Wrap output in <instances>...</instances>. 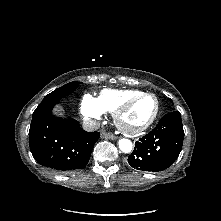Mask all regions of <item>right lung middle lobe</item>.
Segmentation results:
<instances>
[{
    "mask_svg": "<svg viewBox=\"0 0 221 221\" xmlns=\"http://www.w3.org/2000/svg\"><path fill=\"white\" fill-rule=\"evenodd\" d=\"M81 82H70L59 89L51 92L50 94L46 95L39 106L50 103L56 102L62 99L64 96L70 94L72 91L76 90Z\"/></svg>",
    "mask_w": 221,
    "mask_h": 221,
    "instance_id": "dd1d6c3e",
    "label": "right lung middle lobe"
}]
</instances>
